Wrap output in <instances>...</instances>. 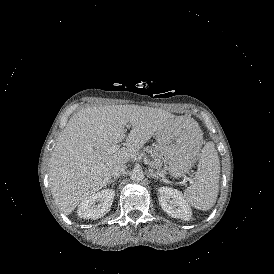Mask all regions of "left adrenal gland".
I'll list each match as a JSON object with an SVG mask.
<instances>
[{
  "label": "left adrenal gland",
  "instance_id": "obj_1",
  "mask_svg": "<svg viewBox=\"0 0 274 274\" xmlns=\"http://www.w3.org/2000/svg\"><path fill=\"white\" fill-rule=\"evenodd\" d=\"M149 171H150V175H151L152 178L157 179V180H159V181H161V182H164V181H163V178L159 177V176L155 173L154 170L149 169Z\"/></svg>",
  "mask_w": 274,
  "mask_h": 274
}]
</instances>
